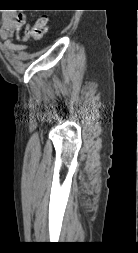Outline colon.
Listing matches in <instances>:
<instances>
[{
	"label": "colon",
	"instance_id": "colon-1",
	"mask_svg": "<svg viewBox=\"0 0 138 253\" xmlns=\"http://www.w3.org/2000/svg\"><path fill=\"white\" fill-rule=\"evenodd\" d=\"M46 29H47V17L41 16L34 22L32 28L30 29V36L35 41H41L45 36Z\"/></svg>",
	"mask_w": 138,
	"mask_h": 253
}]
</instances>
